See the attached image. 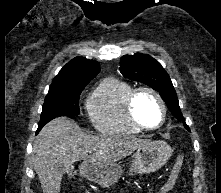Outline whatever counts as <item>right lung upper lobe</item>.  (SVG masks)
<instances>
[{
	"label": "right lung upper lobe",
	"instance_id": "1",
	"mask_svg": "<svg viewBox=\"0 0 221 193\" xmlns=\"http://www.w3.org/2000/svg\"><path fill=\"white\" fill-rule=\"evenodd\" d=\"M99 72L100 66L97 61L76 57L60 70L49 90L87 85Z\"/></svg>",
	"mask_w": 221,
	"mask_h": 193
}]
</instances>
